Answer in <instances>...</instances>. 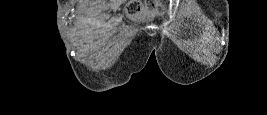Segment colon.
<instances>
[{"label": "colon", "mask_w": 267, "mask_h": 115, "mask_svg": "<svg viewBox=\"0 0 267 115\" xmlns=\"http://www.w3.org/2000/svg\"><path fill=\"white\" fill-rule=\"evenodd\" d=\"M138 9H139V3L138 2H130L127 5V12L129 14H132V13L136 12ZM159 10L161 11L162 7H159Z\"/></svg>", "instance_id": "obj_1"}]
</instances>
